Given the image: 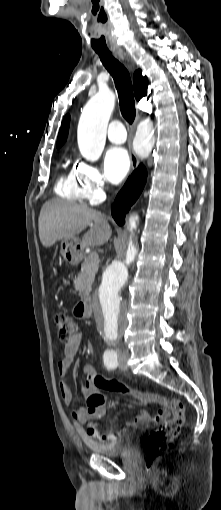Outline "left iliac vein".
Wrapping results in <instances>:
<instances>
[{
    "mask_svg": "<svg viewBox=\"0 0 221 510\" xmlns=\"http://www.w3.org/2000/svg\"><path fill=\"white\" fill-rule=\"evenodd\" d=\"M127 358H128V355L125 354V353H122L119 357V368L121 370H127L128 369V366H127Z\"/></svg>",
    "mask_w": 221,
    "mask_h": 510,
    "instance_id": "1",
    "label": "left iliac vein"
}]
</instances>
